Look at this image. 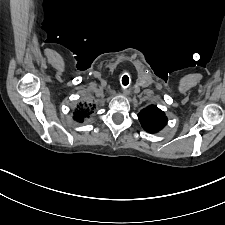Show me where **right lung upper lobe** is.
I'll use <instances>...</instances> for the list:
<instances>
[{"label":"right lung upper lobe","mask_w":225,"mask_h":225,"mask_svg":"<svg viewBox=\"0 0 225 225\" xmlns=\"http://www.w3.org/2000/svg\"><path fill=\"white\" fill-rule=\"evenodd\" d=\"M93 109V108H91ZM89 109H81L79 111H76L74 113V120L78 121V122H83L85 117H89Z\"/></svg>","instance_id":"cb5924a9"}]
</instances>
